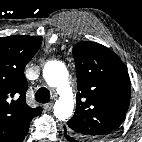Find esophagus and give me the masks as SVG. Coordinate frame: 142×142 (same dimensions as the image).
<instances>
[{"label": "esophagus", "mask_w": 142, "mask_h": 142, "mask_svg": "<svg viewBox=\"0 0 142 142\" xmlns=\"http://www.w3.org/2000/svg\"><path fill=\"white\" fill-rule=\"evenodd\" d=\"M52 107H53V103H47L43 106L46 112H49L52 109Z\"/></svg>", "instance_id": "34e87169"}]
</instances>
